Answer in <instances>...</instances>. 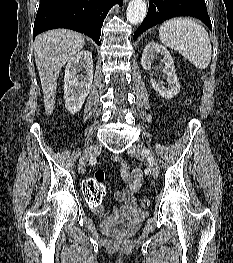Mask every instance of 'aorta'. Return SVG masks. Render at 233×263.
<instances>
[{
  "label": "aorta",
  "mask_w": 233,
  "mask_h": 263,
  "mask_svg": "<svg viewBox=\"0 0 233 263\" xmlns=\"http://www.w3.org/2000/svg\"><path fill=\"white\" fill-rule=\"evenodd\" d=\"M147 14V4L144 0H131L127 7V20L132 25L141 23Z\"/></svg>",
  "instance_id": "obj_1"
}]
</instances>
